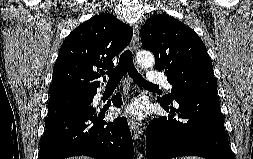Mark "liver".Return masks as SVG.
Segmentation results:
<instances>
[{"instance_id":"1","label":"liver","mask_w":253,"mask_h":159,"mask_svg":"<svg viewBox=\"0 0 253 159\" xmlns=\"http://www.w3.org/2000/svg\"><path fill=\"white\" fill-rule=\"evenodd\" d=\"M68 159H92L86 156H78V157H72V158H68Z\"/></svg>"}]
</instances>
